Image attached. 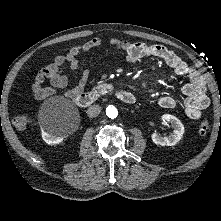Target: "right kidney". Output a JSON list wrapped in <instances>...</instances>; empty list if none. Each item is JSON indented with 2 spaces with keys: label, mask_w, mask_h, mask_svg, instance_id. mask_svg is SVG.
I'll return each mask as SVG.
<instances>
[{
  "label": "right kidney",
  "mask_w": 221,
  "mask_h": 221,
  "mask_svg": "<svg viewBox=\"0 0 221 221\" xmlns=\"http://www.w3.org/2000/svg\"><path fill=\"white\" fill-rule=\"evenodd\" d=\"M42 138L47 144L55 145L61 143L64 139V136L53 132L50 127H45L42 128Z\"/></svg>",
  "instance_id": "right-kidney-1"
}]
</instances>
